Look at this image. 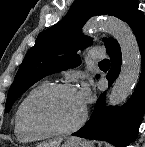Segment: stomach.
I'll use <instances>...</instances> for the list:
<instances>
[{
  "instance_id": "1",
  "label": "stomach",
  "mask_w": 145,
  "mask_h": 147,
  "mask_svg": "<svg viewBox=\"0 0 145 147\" xmlns=\"http://www.w3.org/2000/svg\"><path fill=\"white\" fill-rule=\"evenodd\" d=\"M62 147H83V145H80L77 141L74 140H67L64 142Z\"/></svg>"
}]
</instances>
